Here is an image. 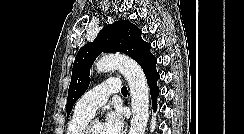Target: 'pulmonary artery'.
Returning <instances> with one entry per match:
<instances>
[{
	"label": "pulmonary artery",
	"instance_id": "1",
	"mask_svg": "<svg viewBox=\"0 0 244 134\" xmlns=\"http://www.w3.org/2000/svg\"><path fill=\"white\" fill-rule=\"evenodd\" d=\"M121 91L117 78H110L86 92L76 103L75 111L92 117L113 93Z\"/></svg>",
	"mask_w": 244,
	"mask_h": 134
}]
</instances>
